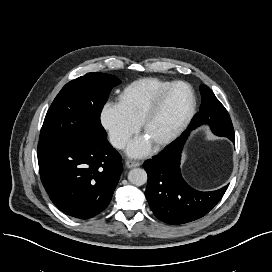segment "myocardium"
Segmentation results:
<instances>
[{
    "mask_svg": "<svg viewBox=\"0 0 272 272\" xmlns=\"http://www.w3.org/2000/svg\"><path fill=\"white\" fill-rule=\"evenodd\" d=\"M183 86L185 87L190 95V105L188 108V111L181 121V123L166 137L163 139L153 143V146L155 149H161L169 144H171L174 140H176L188 127L191 120L193 119V116L196 111V97L195 93L192 89V87L182 81L173 82L169 87H167L163 92H161L156 99L151 103V105L147 108L145 111L140 124H139V130L143 133L146 129L147 125L151 121V119L156 115V113L159 111L165 100L168 98V96L172 93V91L179 87Z\"/></svg>",
    "mask_w": 272,
    "mask_h": 272,
    "instance_id": "obj_1",
    "label": "myocardium"
}]
</instances>
